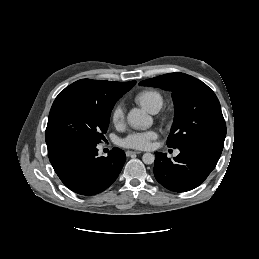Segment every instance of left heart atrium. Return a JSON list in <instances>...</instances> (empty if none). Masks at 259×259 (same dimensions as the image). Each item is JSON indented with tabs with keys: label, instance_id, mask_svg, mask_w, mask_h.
Returning <instances> with one entry per match:
<instances>
[{
	"label": "left heart atrium",
	"instance_id": "1",
	"mask_svg": "<svg viewBox=\"0 0 259 259\" xmlns=\"http://www.w3.org/2000/svg\"><path fill=\"white\" fill-rule=\"evenodd\" d=\"M157 137L155 131L135 132L122 139L121 145L127 148L144 150L149 148L151 141Z\"/></svg>",
	"mask_w": 259,
	"mask_h": 259
}]
</instances>
